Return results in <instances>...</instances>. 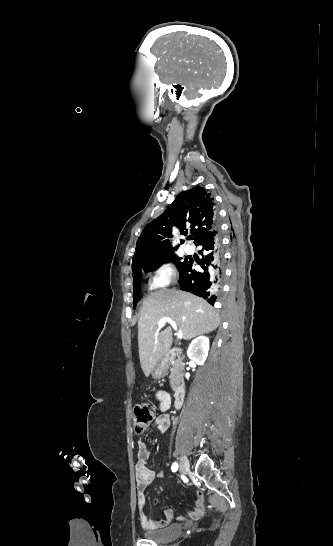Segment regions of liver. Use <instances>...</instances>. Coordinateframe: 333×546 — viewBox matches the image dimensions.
I'll use <instances>...</instances> for the list:
<instances>
[{
  "mask_svg": "<svg viewBox=\"0 0 333 546\" xmlns=\"http://www.w3.org/2000/svg\"><path fill=\"white\" fill-rule=\"evenodd\" d=\"M163 317L175 321L184 340L210 333L220 323L219 313L200 297L176 289L151 292L143 301L138 321L139 358L146 377L173 342L171 327L158 330V322Z\"/></svg>",
  "mask_w": 333,
  "mask_h": 546,
  "instance_id": "obj_1",
  "label": "liver"
}]
</instances>
